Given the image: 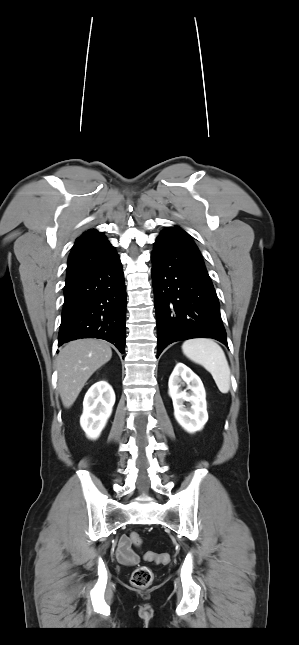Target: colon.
<instances>
[{
	"label": "colon",
	"instance_id": "colon-1",
	"mask_svg": "<svg viewBox=\"0 0 299 645\" xmlns=\"http://www.w3.org/2000/svg\"><path fill=\"white\" fill-rule=\"evenodd\" d=\"M130 539L133 542V544L137 547H139L142 543V539L140 535L136 532H133L130 534ZM144 557L147 561H154L162 564H166L170 561V555L168 553H155L150 551V552H147ZM152 580H153V573L146 566L137 567L132 572L131 579H130L131 584L138 588L148 587L151 584Z\"/></svg>",
	"mask_w": 299,
	"mask_h": 645
}]
</instances>
